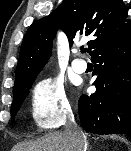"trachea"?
<instances>
[{
    "instance_id": "obj_1",
    "label": "trachea",
    "mask_w": 131,
    "mask_h": 151,
    "mask_svg": "<svg viewBox=\"0 0 131 151\" xmlns=\"http://www.w3.org/2000/svg\"><path fill=\"white\" fill-rule=\"evenodd\" d=\"M81 53H86V49H81Z\"/></svg>"
}]
</instances>
